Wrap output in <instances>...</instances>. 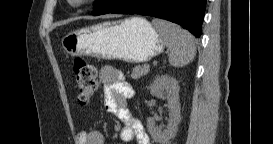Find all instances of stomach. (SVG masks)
<instances>
[{
	"label": "stomach",
	"instance_id": "stomach-1",
	"mask_svg": "<svg viewBox=\"0 0 273 144\" xmlns=\"http://www.w3.org/2000/svg\"><path fill=\"white\" fill-rule=\"evenodd\" d=\"M62 48L71 56H91L129 63L149 61L164 49L159 32L143 17L106 21L62 38Z\"/></svg>",
	"mask_w": 273,
	"mask_h": 144
}]
</instances>
